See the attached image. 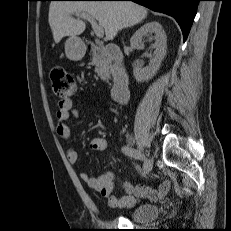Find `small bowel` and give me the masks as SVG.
<instances>
[{
	"label": "small bowel",
	"instance_id": "obj_1",
	"mask_svg": "<svg viewBox=\"0 0 231 231\" xmlns=\"http://www.w3.org/2000/svg\"><path fill=\"white\" fill-rule=\"evenodd\" d=\"M70 115L74 117H78L79 115V112L73 108V101L71 99L60 101L57 110L56 131L68 143L75 139L67 124ZM89 147L93 151H103L107 148V140L103 137H94L90 140ZM66 157L71 164H76L79 160L78 152L73 148H67ZM79 176L89 188L108 198L109 205L115 208L131 207L142 199L152 201L162 199L167 195L170 188L169 181H164L157 189L145 185L132 186L127 182H123L122 186L125 194L116 196L113 194L115 175L112 172L108 171L98 177H92L87 172L81 171Z\"/></svg>",
	"mask_w": 231,
	"mask_h": 231
}]
</instances>
